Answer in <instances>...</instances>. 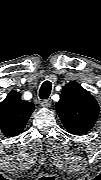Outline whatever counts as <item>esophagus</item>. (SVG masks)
Listing matches in <instances>:
<instances>
[{"label": "esophagus", "mask_w": 101, "mask_h": 180, "mask_svg": "<svg viewBox=\"0 0 101 180\" xmlns=\"http://www.w3.org/2000/svg\"><path fill=\"white\" fill-rule=\"evenodd\" d=\"M52 104L50 99H44L42 101H40V106L42 107H50Z\"/></svg>", "instance_id": "34e87169"}]
</instances>
